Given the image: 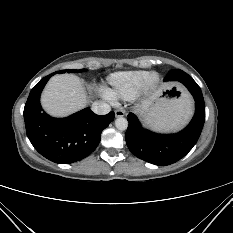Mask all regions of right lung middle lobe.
Instances as JSON below:
<instances>
[{
    "label": "right lung middle lobe",
    "instance_id": "dd1d6c3e",
    "mask_svg": "<svg viewBox=\"0 0 233 233\" xmlns=\"http://www.w3.org/2000/svg\"><path fill=\"white\" fill-rule=\"evenodd\" d=\"M86 71V69H80V70H61V71H58V72H54V73H65V72H74V73H80V72H84Z\"/></svg>",
    "mask_w": 233,
    "mask_h": 233
}]
</instances>
